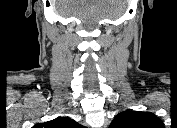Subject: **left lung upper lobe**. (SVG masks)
Segmentation results:
<instances>
[{"label": "left lung upper lobe", "mask_w": 177, "mask_h": 128, "mask_svg": "<svg viewBox=\"0 0 177 128\" xmlns=\"http://www.w3.org/2000/svg\"><path fill=\"white\" fill-rule=\"evenodd\" d=\"M163 122L151 112L124 111L111 122L109 128H162Z\"/></svg>", "instance_id": "obj_1"}]
</instances>
